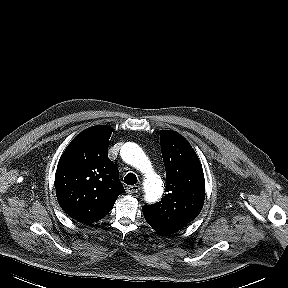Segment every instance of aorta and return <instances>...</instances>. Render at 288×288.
<instances>
[{
	"mask_svg": "<svg viewBox=\"0 0 288 288\" xmlns=\"http://www.w3.org/2000/svg\"><path fill=\"white\" fill-rule=\"evenodd\" d=\"M120 154L126 163L144 174L145 200L150 203L156 202L163 194L164 185L159 175L153 171L143 150L136 143L127 142L122 146Z\"/></svg>",
	"mask_w": 288,
	"mask_h": 288,
	"instance_id": "aorta-1",
	"label": "aorta"
}]
</instances>
